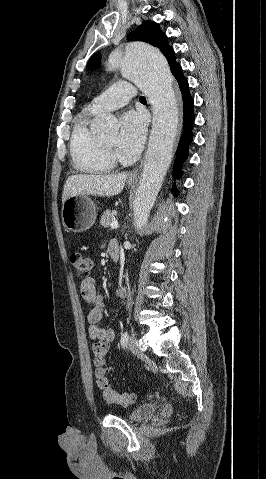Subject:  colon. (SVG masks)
Here are the masks:
<instances>
[{
  "label": "colon",
  "mask_w": 266,
  "mask_h": 479,
  "mask_svg": "<svg viewBox=\"0 0 266 479\" xmlns=\"http://www.w3.org/2000/svg\"><path fill=\"white\" fill-rule=\"evenodd\" d=\"M70 262L75 269L77 275L82 278H87L93 267V259L89 255L75 251L70 256ZM109 344L105 340H99L93 345L94 365L96 366V384L99 390L102 392L103 398L114 404H120L127 406L133 404L137 396L134 393L116 392L109 384L107 377L105 376V363L106 355L108 352Z\"/></svg>",
  "instance_id": "1"
}]
</instances>
